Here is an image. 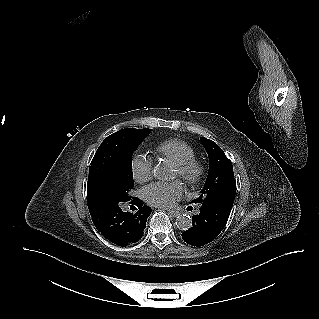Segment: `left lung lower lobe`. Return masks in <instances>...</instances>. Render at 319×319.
<instances>
[{
    "mask_svg": "<svg viewBox=\"0 0 319 319\" xmlns=\"http://www.w3.org/2000/svg\"><path fill=\"white\" fill-rule=\"evenodd\" d=\"M235 196L219 197L200 203V212L192 217V227L182 233L183 240L192 246L213 241L229 218Z\"/></svg>",
    "mask_w": 319,
    "mask_h": 319,
    "instance_id": "0a47b994",
    "label": "left lung lower lobe"
}]
</instances>
